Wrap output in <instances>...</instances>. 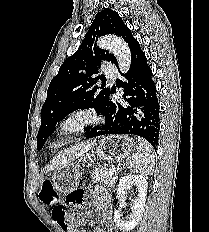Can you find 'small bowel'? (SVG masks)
I'll return each mask as SVG.
<instances>
[{"label":"small bowel","mask_w":209,"mask_h":232,"mask_svg":"<svg viewBox=\"0 0 209 232\" xmlns=\"http://www.w3.org/2000/svg\"><path fill=\"white\" fill-rule=\"evenodd\" d=\"M89 185H76V190H69V194L66 195L65 206L69 209L70 213H75V208H81L85 205L86 199H88ZM94 198V203L99 211L102 221H107L111 219V200L107 192L103 189L98 188L92 194ZM70 224L66 228H62L65 232H86L85 230H80L75 224L76 220L75 214H70L68 216ZM95 232H113L111 229L105 231L102 228H96Z\"/></svg>","instance_id":"obj_1"}]
</instances>
